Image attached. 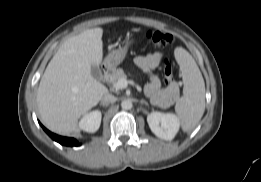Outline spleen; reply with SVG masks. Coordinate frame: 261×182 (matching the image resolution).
I'll return each instance as SVG.
<instances>
[{
    "instance_id": "1",
    "label": "spleen",
    "mask_w": 261,
    "mask_h": 182,
    "mask_svg": "<svg viewBox=\"0 0 261 182\" xmlns=\"http://www.w3.org/2000/svg\"><path fill=\"white\" fill-rule=\"evenodd\" d=\"M184 82L183 96L177 101L175 110L185 132L192 131L205 110V83L194 58L182 47L174 52Z\"/></svg>"
}]
</instances>
